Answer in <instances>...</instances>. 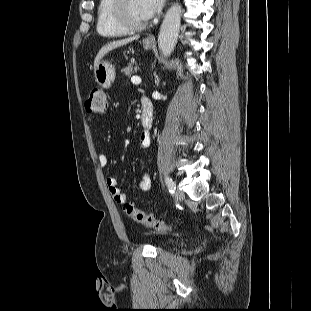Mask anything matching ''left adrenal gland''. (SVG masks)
I'll return each instance as SVG.
<instances>
[{
	"instance_id": "left-adrenal-gland-1",
	"label": "left adrenal gland",
	"mask_w": 311,
	"mask_h": 311,
	"mask_svg": "<svg viewBox=\"0 0 311 311\" xmlns=\"http://www.w3.org/2000/svg\"><path fill=\"white\" fill-rule=\"evenodd\" d=\"M154 77H155V84H156V86H158L160 83V79L156 73H154Z\"/></svg>"
}]
</instances>
